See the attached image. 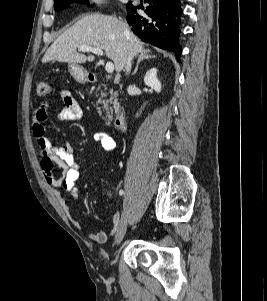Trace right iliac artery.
<instances>
[{"mask_svg": "<svg viewBox=\"0 0 267 301\" xmlns=\"http://www.w3.org/2000/svg\"><path fill=\"white\" fill-rule=\"evenodd\" d=\"M119 194H120V195H123V194H124V191H123V190H120V191H119Z\"/></svg>", "mask_w": 267, "mask_h": 301, "instance_id": "obj_1", "label": "right iliac artery"}]
</instances>
